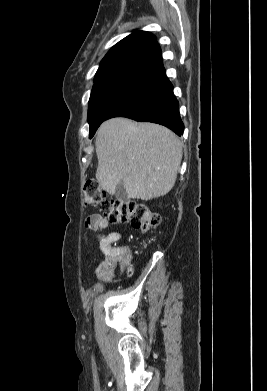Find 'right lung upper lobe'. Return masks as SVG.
I'll return each mask as SVG.
<instances>
[{"label": "right lung upper lobe", "mask_w": 267, "mask_h": 391, "mask_svg": "<svg viewBox=\"0 0 267 391\" xmlns=\"http://www.w3.org/2000/svg\"><path fill=\"white\" fill-rule=\"evenodd\" d=\"M164 70L156 37L146 31H135L109 50L102 59L94 80L113 74L154 77Z\"/></svg>", "instance_id": "obj_1"}]
</instances>
